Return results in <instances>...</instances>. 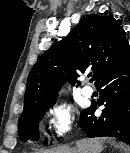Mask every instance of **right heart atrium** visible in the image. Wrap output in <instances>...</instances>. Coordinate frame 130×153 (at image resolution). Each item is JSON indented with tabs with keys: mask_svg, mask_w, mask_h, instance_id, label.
Masks as SVG:
<instances>
[{
	"mask_svg": "<svg viewBox=\"0 0 130 153\" xmlns=\"http://www.w3.org/2000/svg\"><path fill=\"white\" fill-rule=\"evenodd\" d=\"M49 126L54 139L63 138L76 121V112L66 102H56L49 109Z\"/></svg>",
	"mask_w": 130,
	"mask_h": 153,
	"instance_id": "obj_1",
	"label": "right heart atrium"
}]
</instances>
